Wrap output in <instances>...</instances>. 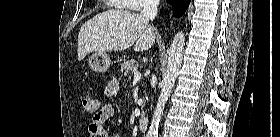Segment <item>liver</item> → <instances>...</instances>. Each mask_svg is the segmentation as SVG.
<instances>
[{
    "label": "liver",
    "instance_id": "liver-1",
    "mask_svg": "<svg viewBox=\"0 0 280 137\" xmlns=\"http://www.w3.org/2000/svg\"><path fill=\"white\" fill-rule=\"evenodd\" d=\"M154 27L141 14L122 9L100 13L85 22L78 35V60L90 52L150 49L156 38Z\"/></svg>",
    "mask_w": 280,
    "mask_h": 137
}]
</instances>
